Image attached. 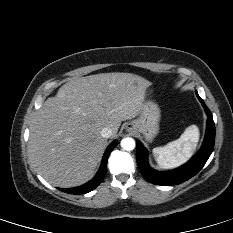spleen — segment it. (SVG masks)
<instances>
[{
	"instance_id": "obj_1",
	"label": "spleen",
	"mask_w": 233,
	"mask_h": 233,
	"mask_svg": "<svg viewBox=\"0 0 233 233\" xmlns=\"http://www.w3.org/2000/svg\"><path fill=\"white\" fill-rule=\"evenodd\" d=\"M199 135L198 127L191 125L177 140L163 147L154 148L152 152L157 164L165 169H172L184 164L195 151Z\"/></svg>"
}]
</instances>
